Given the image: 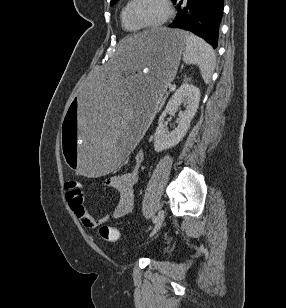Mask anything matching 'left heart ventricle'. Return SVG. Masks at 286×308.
Instances as JSON below:
<instances>
[{
    "label": "left heart ventricle",
    "mask_w": 286,
    "mask_h": 308,
    "mask_svg": "<svg viewBox=\"0 0 286 308\" xmlns=\"http://www.w3.org/2000/svg\"><path fill=\"white\" fill-rule=\"evenodd\" d=\"M165 8L162 0H137L134 6L135 19L141 24H153L163 18Z\"/></svg>",
    "instance_id": "1"
}]
</instances>
